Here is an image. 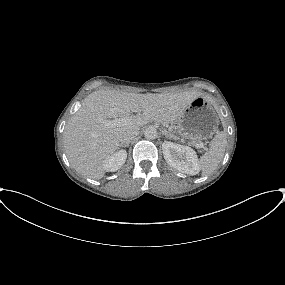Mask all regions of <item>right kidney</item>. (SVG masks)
<instances>
[{"mask_svg":"<svg viewBox=\"0 0 285 285\" xmlns=\"http://www.w3.org/2000/svg\"><path fill=\"white\" fill-rule=\"evenodd\" d=\"M127 159V152L120 150L114 153L104 164V169L107 172H115L122 167Z\"/></svg>","mask_w":285,"mask_h":285,"instance_id":"obj_1","label":"right kidney"}]
</instances>
